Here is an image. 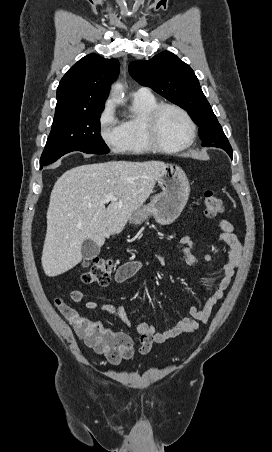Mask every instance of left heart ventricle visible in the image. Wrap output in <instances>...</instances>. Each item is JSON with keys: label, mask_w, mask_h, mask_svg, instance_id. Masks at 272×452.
<instances>
[{"label": "left heart ventricle", "mask_w": 272, "mask_h": 452, "mask_svg": "<svg viewBox=\"0 0 272 452\" xmlns=\"http://www.w3.org/2000/svg\"><path fill=\"white\" fill-rule=\"evenodd\" d=\"M189 127L184 117L172 109L164 110L158 120V137L166 146L173 147L185 142Z\"/></svg>", "instance_id": "obj_1"}]
</instances>
